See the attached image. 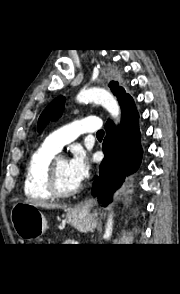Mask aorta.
<instances>
[{
	"label": "aorta",
	"mask_w": 180,
	"mask_h": 294,
	"mask_svg": "<svg viewBox=\"0 0 180 294\" xmlns=\"http://www.w3.org/2000/svg\"><path fill=\"white\" fill-rule=\"evenodd\" d=\"M76 99L79 103L94 102L100 104L109 112L115 122L119 121L121 113L120 106L116 98L108 91L100 88L81 90L78 93ZM112 231L113 215L111 213L107 219L103 238L108 241L112 236Z\"/></svg>",
	"instance_id": "aorta-1"
}]
</instances>
